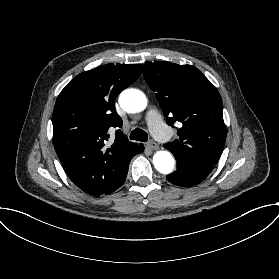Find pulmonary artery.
I'll return each instance as SVG.
<instances>
[{
	"label": "pulmonary artery",
	"instance_id": "pulmonary-artery-1",
	"mask_svg": "<svg viewBox=\"0 0 279 279\" xmlns=\"http://www.w3.org/2000/svg\"><path fill=\"white\" fill-rule=\"evenodd\" d=\"M166 115L161 110L153 109L145 117V122L153 131L154 138L160 144L165 145L171 140V131L164 124Z\"/></svg>",
	"mask_w": 279,
	"mask_h": 279
}]
</instances>
